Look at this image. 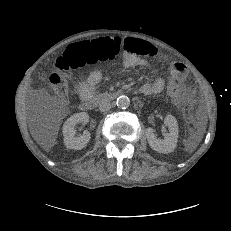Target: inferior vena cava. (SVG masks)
<instances>
[{"instance_id":"inferior-vena-cava-1","label":"inferior vena cava","mask_w":231,"mask_h":231,"mask_svg":"<svg viewBox=\"0 0 231 231\" xmlns=\"http://www.w3.org/2000/svg\"><path fill=\"white\" fill-rule=\"evenodd\" d=\"M111 108V103L107 99H102L99 102V110L101 112L108 111Z\"/></svg>"}]
</instances>
